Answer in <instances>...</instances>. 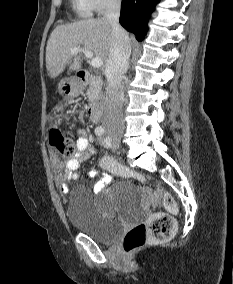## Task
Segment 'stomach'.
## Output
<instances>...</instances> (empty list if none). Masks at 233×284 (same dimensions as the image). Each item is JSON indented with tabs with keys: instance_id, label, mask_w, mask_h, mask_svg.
I'll list each match as a JSON object with an SVG mask.
<instances>
[{
	"instance_id": "stomach-1",
	"label": "stomach",
	"mask_w": 233,
	"mask_h": 284,
	"mask_svg": "<svg viewBox=\"0 0 233 284\" xmlns=\"http://www.w3.org/2000/svg\"><path fill=\"white\" fill-rule=\"evenodd\" d=\"M82 83L75 77L62 79L58 85L59 93L65 98L75 97L82 90Z\"/></svg>"
}]
</instances>
